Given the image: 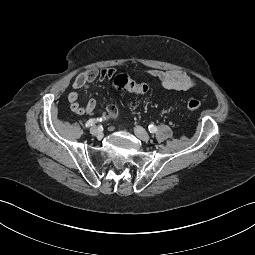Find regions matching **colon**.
Masks as SVG:
<instances>
[{
	"instance_id": "colon-1",
	"label": "colon",
	"mask_w": 255,
	"mask_h": 255,
	"mask_svg": "<svg viewBox=\"0 0 255 255\" xmlns=\"http://www.w3.org/2000/svg\"><path fill=\"white\" fill-rule=\"evenodd\" d=\"M113 87L117 90L129 89L138 94H144L148 91L149 87L145 83H136L132 81L127 75L120 74L113 80ZM186 106L191 111H197L201 108L202 103L197 98H189L186 101Z\"/></svg>"
}]
</instances>
